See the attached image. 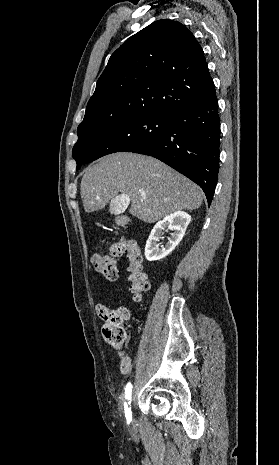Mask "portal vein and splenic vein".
<instances>
[{"label": "portal vein and splenic vein", "instance_id": "1", "mask_svg": "<svg viewBox=\"0 0 279 465\" xmlns=\"http://www.w3.org/2000/svg\"><path fill=\"white\" fill-rule=\"evenodd\" d=\"M122 197H125V198L128 200V202H129V197H128L127 195H122ZM142 197H143V198H146V195H145V194H142Z\"/></svg>", "mask_w": 279, "mask_h": 465}]
</instances>
